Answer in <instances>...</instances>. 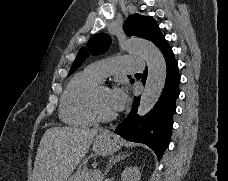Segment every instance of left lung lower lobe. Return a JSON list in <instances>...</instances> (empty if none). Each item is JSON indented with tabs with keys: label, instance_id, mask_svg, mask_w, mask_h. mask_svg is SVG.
Returning a JSON list of instances; mask_svg holds the SVG:
<instances>
[{
	"label": "left lung lower lobe",
	"instance_id": "left-lung-lower-lobe-1",
	"mask_svg": "<svg viewBox=\"0 0 228 181\" xmlns=\"http://www.w3.org/2000/svg\"><path fill=\"white\" fill-rule=\"evenodd\" d=\"M156 46L162 52L167 64L166 82L162 94L150 113L143 117L137 115L140 98L135 97L131 112L118 125L115 132L128 141L148 145L160 159L170 140L173 114L176 109L175 101L179 96L180 75L177 61L165 38ZM146 77L147 69L143 73V84H145Z\"/></svg>",
	"mask_w": 228,
	"mask_h": 181
}]
</instances>
